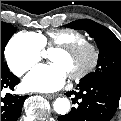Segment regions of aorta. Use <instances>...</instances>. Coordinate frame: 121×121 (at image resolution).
I'll use <instances>...</instances> for the list:
<instances>
[{"label": "aorta", "instance_id": "762f6f07", "mask_svg": "<svg viewBox=\"0 0 121 121\" xmlns=\"http://www.w3.org/2000/svg\"><path fill=\"white\" fill-rule=\"evenodd\" d=\"M56 113L65 115L70 111V102L67 98L59 97L53 104Z\"/></svg>", "mask_w": 121, "mask_h": 121}]
</instances>
